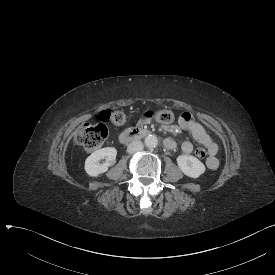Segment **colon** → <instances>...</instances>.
<instances>
[{
  "label": "colon",
  "mask_w": 275,
  "mask_h": 275,
  "mask_svg": "<svg viewBox=\"0 0 275 275\" xmlns=\"http://www.w3.org/2000/svg\"><path fill=\"white\" fill-rule=\"evenodd\" d=\"M146 118L160 124H169L176 119V116L172 110H149L146 112ZM101 119L103 121L121 124L125 120V115L120 111H103L101 113ZM107 136L108 131L104 126L84 124L78 129L76 139L84 151L95 152L103 146ZM195 155L199 159H204L207 155L206 149L204 147H197L195 149Z\"/></svg>",
  "instance_id": "5ec220e1"
}]
</instances>
